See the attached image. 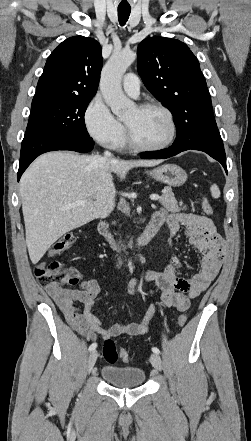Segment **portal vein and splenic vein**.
<instances>
[{
	"mask_svg": "<svg viewBox=\"0 0 251 441\" xmlns=\"http://www.w3.org/2000/svg\"><path fill=\"white\" fill-rule=\"evenodd\" d=\"M150 199L153 200V201H157V200L160 199V196L157 195V194H152V195L150 196ZM85 203H87V200H80V201H76V202L74 203V205H83V204H85Z\"/></svg>",
	"mask_w": 251,
	"mask_h": 441,
	"instance_id": "1",
	"label": "portal vein and splenic vein"
}]
</instances>
